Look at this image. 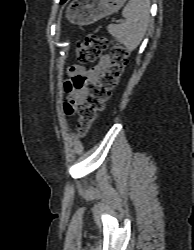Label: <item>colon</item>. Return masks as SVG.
<instances>
[{"instance_id": "obj_1", "label": "colon", "mask_w": 194, "mask_h": 250, "mask_svg": "<svg viewBox=\"0 0 194 250\" xmlns=\"http://www.w3.org/2000/svg\"><path fill=\"white\" fill-rule=\"evenodd\" d=\"M108 46L109 41L105 37L89 34L84 42L76 45L77 59L81 63L93 62ZM111 57L109 67L100 74L97 82L91 85L86 103L78 108L76 132L81 137L88 133L98 114L104 111L112 92L117 87L127 64L128 49L121 43L114 42ZM68 110L71 111L72 108Z\"/></svg>"}]
</instances>
